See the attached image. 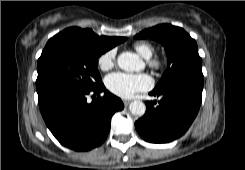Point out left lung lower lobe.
Listing matches in <instances>:
<instances>
[{"mask_svg":"<svg viewBox=\"0 0 245 170\" xmlns=\"http://www.w3.org/2000/svg\"><path fill=\"white\" fill-rule=\"evenodd\" d=\"M202 89L180 83L150 92V95L162 98L157 106L156 101L147 102L145 115L135 122L139 135L151 143H166L182 136L199 111Z\"/></svg>","mask_w":245,"mask_h":170,"instance_id":"0a47b994","label":"left lung lower lobe"}]
</instances>
